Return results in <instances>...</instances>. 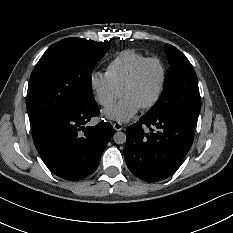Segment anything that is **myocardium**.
Here are the masks:
<instances>
[{"instance_id": "obj_1", "label": "myocardium", "mask_w": 233, "mask_h": 233, "mask_svg": "<svg viewBox=\"0 0 233 233\" xmlns=\"http://www.w3.org/2000/svg\"><path fill=\"white\" fill-rule=\"evenodd\" d=\"M151 62H158L160 64L162 68V79H161V83H160L156 96L151 102H149L148 104L142 107L144 110H150L154 108L159 103V101L161 100L164 94L166 84H167V79H168V69L163 59L157 56L147 57L133 70V72L124 81L120 89V91L122 92L126 88H129L130 86H132L137 81V79L139 78L144 68Z\"/></svg>"}]
</instances>
